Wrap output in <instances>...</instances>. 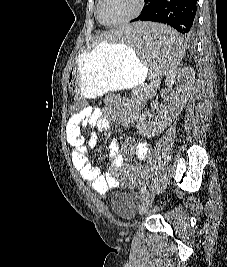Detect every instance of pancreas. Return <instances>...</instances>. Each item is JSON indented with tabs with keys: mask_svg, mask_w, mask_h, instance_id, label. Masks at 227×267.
I'll use <instances>...</instances> for the list:
<instances>
[{
	"mask_svg": "<svg viewBox=\"0 0 227 267\" xmlns=\"http://www.w3.org/2000/svg\"><path fill=\"white\" fill-rule=\"evenodd\" d=\"M152 87H153L152 85L151 86H146V87H144V89L147 90V91H150L152 89Z\"/></svg>",
	"mask_w": 227,
	"mask_h": 267,
	"instance_id": "cf45deb5",
	"label": "pancreas"
}]
</instances>
